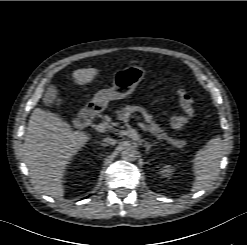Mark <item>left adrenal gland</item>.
<instances>
[{
  "label": "left adrenal gland",
  "instance_id": "1",
  "mask_svg": "<svg viewBox=\"0 0 247 245\" xmlns=\"http://www.w3.org/2000/svg\"><path fill=\"white\" fill-rule=\"evenodd\" d=\"M154 145V143H148L147 141H144V146L146 148V153H148L151 149V147Z\"/></svg>",
  "mask_w": 247,
  "mask_h": 245
}]
</instances>
